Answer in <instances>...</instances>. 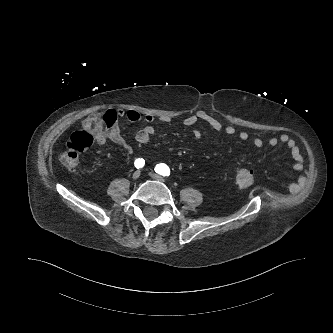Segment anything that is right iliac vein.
Instances as JSON below:
<instances>
[{"label": "right iliac vein", "instance_id": "63e3f726", "mask_svg": "<svg viewBox=\"0 0 333 333\" xmlns=\"http://www.w3.org/2000/svg\"><path fill=\"white\" fill-rule=\"evenodd\" d=\"M140 175H141L140 171H135L132 175V178L134 180H137V179H139Z\"/></svg>", "mask_w": 333, "mask_h": 333}]
</instances>
